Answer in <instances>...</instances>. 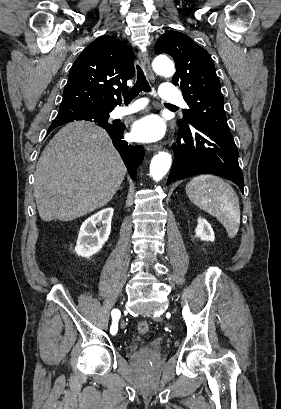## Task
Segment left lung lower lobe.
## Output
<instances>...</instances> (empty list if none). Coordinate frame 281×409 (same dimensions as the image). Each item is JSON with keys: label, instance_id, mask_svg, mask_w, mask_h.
Segmentation results:
<instances>
[{"label": "left lung lower lobe", "instance_id": "left-lung-lower-lobe-1", "mask_svg": "<svg viewBox=\"0 0 281 409\" xmlns=\"http://www.w3.org/2000/svg\"><path fill=\"white\" fill-rule=\"evenodd\" d=\"M167 185L197 174H215L235 182L244 193L238 150L230 131L202 122H190L178 130Z\"/></svg>", "mask_w": 281, "mask_h": 409}]
</instances>
